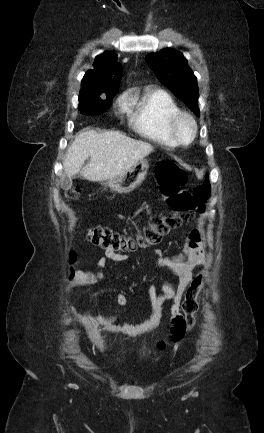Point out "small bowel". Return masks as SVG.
Masks as SVG:
<instances>
[{
    "mask_svg": "<svg viewBox=\"0 0 264 433\" xmlns=\"http://www.w3.org/2000/svg\"><path fill=\"white\" fill-rule=\"evenodd\" d=\"M158 265L170 271L178 278V285L174 288L170 283H164L161 286V294L157 295L153 285L148 288V293L152 302V309L147 318L140 323L122 322L116 323L117 314L110 316H83L77 314L72 308L77 320L82 324L99 326L103 329L121 333L125 338H132L144 335L153 331L160 323L164 306L170 303L171 328L167 340L158 342L156 349L158 352L166 350L169 346L177 344L184 337L187 326L184 316L180 313V303L183 295L191 283L194 271L206 261V254L201 236L197 230H193L183 241V247L180 253L175 256H164L160 251H155ZM128 257L122 254L105 251L98 259V271L95 273L78 271L71 285H96L104 279V269L108 261L121 263L127 261ZM128 297L125 293L120 292L116 296L118 308L126 305Z\"/></svg>",
    "mask_w": 264,
    "mask_h": 433,
    "instance_id": "c3829d8e",
    "label": "small bowel"
}]
</instances>
